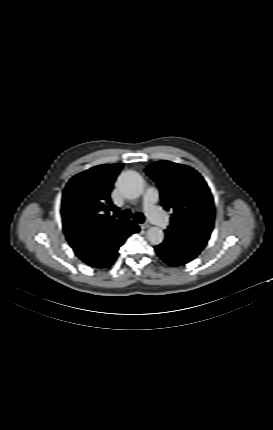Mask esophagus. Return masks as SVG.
Wrapping results in <instances>:
<instances>
[{"label": "esophagus", "mask_w": 273, "mask_h": 430, "mask_svg": "<svg viewBox=\"0 0 273 430\" xmlns=\"http://www.w3.org/2000/svg\"><path fill=\"white\" fill-rule=\"evenodd\" d=\"M140 226H141V229H147V228H149V227H150V225H149V224H147V223H143V224H141Z\"/></svg>", "instance_id": "obj_1"}]
</instances>
